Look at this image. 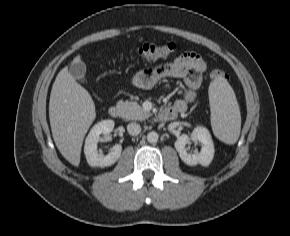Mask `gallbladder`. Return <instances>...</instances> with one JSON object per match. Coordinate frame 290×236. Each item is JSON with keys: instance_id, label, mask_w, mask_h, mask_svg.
Returning a JSON list of instances; mask_svg holds the SVG:
<instances>
[{"instance_id": "1", "label": "gallbladder", "mask_w": 290, "mask_h": 236, "mask_svg": "<svg viewBox=\"0 0 290 236\" xmlns=\"http://www.w3.org/2000/svg\"><path fill=\"white\" fill-rule=\"evenodd\" d=\"M69 72L75 79L81 81L82 83L86 82L85 79L86 65L84 62L80 61L78 63H72L70 65Z\"/></svg>"}]
</instances>
